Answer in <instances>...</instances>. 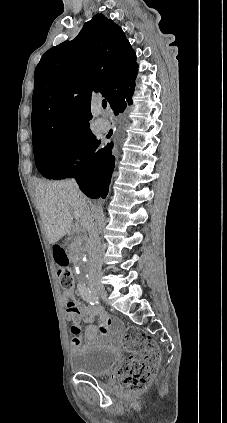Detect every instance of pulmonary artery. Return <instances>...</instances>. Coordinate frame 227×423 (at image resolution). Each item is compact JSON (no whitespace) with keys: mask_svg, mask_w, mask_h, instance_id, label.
<instances>
[{"mask_svg":"<svg viewBox=\"0 0 227 423\" xmlns=\"http://www.w3.org/2000/svg\"><path fill=\"white\" fill-rule=\"evenodd\" d=\"M92 113L96 117L95 124L97 128L102 131L107 130L110 126V122L106 118L99 117V115L102 113V108L101 107L95 108L92 111Z\"/></svg>","mask_w":227,"mask_h":423,"instance_id":"pulmonary-artery-1","label":"pulmonary artery"}]
</instances>
